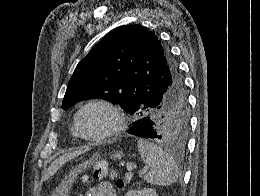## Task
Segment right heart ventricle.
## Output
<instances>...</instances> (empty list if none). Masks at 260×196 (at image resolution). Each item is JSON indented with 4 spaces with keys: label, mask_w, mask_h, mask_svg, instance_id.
<instances>
[{
    "label": "right heart ventricle",
    "mask_w": 260,
    "mask_h": 196,
    "mask_svg": "<svg viewBox=\"0 0 260 196\" xmlns=\"http://www.w3.org/2000/svg\"><path fill=\"white\" fill-rule=\"evenodd\" d=\"M72 135L75 137V138H78V134L76 133V131L74 130L73 126H72Z\"/></svg>",
    "instance_id": "right-heart-ventricle-1"
}]
</instances>
